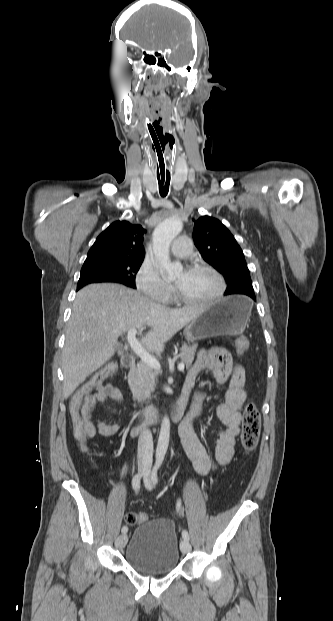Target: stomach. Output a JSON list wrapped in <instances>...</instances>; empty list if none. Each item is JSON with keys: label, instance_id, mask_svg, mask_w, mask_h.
I'll return each mask as SVG.
<instances>
[{"label": "stomach", "instance_id": "0dacf381", "mask_svg": "<svg viewBox=\"0 0 333 621\" xmlns=\"http://www.w3.org/2000/svg\"><path fill=\"white\" fill-rule=\"evenodd\" d=\"M252 303L244 296L227 297L205 306L188 325L185 336L190 342L219 335L238 334L245 326Z\"/></svg>", "mask_w": 333, "mask_h": 621}]
</instances>
